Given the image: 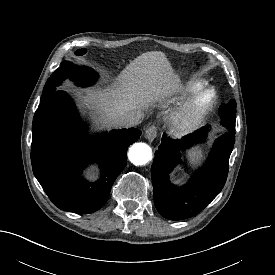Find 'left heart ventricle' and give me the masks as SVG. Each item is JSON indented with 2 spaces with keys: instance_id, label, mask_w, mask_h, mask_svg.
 I'll list each match as a JSON object with an SVG mask.
<instances>
[{
  "instance_id": "b2bd125f",
  "label": "left heart ventricle",
  "mask_w": 275,
  "mask_h": 275,
  "mask_svg": "<svg viewBox=\"0 0 275 275\" xmlns=\"http://www.w3.org/2000/svg\"><path fill=\"white\" fill-rule=\"evenodd\" d=\"M206 103V98H201L198 102V108H202Z\"/></svg>"
}]
</instances>
